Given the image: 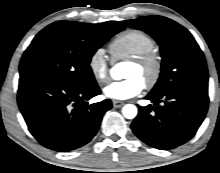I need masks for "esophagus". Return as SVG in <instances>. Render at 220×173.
Wrapping results in <instances>:
<instances>
[{
    "mask_svg": "<svg viewBox=\"0 0 220 173\" xmlns=\"http://www.w3.org/2000/svg\"><path fill=\"white\" fill-rule=\"evenodd\" d=\"M123 105H124V102L119 101V100H113V107L114 108H120Z\"/></svg>",
    "mask_w": 220,
    "mask_h": 173,
    "instance_id": "esophagus-1",
    "label": "esophagus"
}]
</instances>
